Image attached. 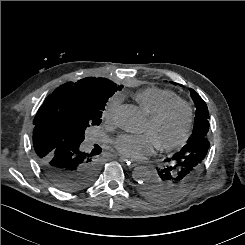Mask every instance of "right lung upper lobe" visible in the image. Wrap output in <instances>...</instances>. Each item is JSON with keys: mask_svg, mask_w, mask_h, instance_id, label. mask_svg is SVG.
<instances>
[{"mask_svg": "<svg viewBox=\"0 0 245 245\" xmlns=\"http://www.w3.org/2000/svg\"><path fill=\"white\" fill-rule=\"evenodd\" d=\"M114 85H116L114 82L106 78L87 77L76 83L68 82L59 86L39 108L33 121L35 125L33 136L39 133H54L46 123V116L49 112L73 106L90 105L96 101L99 93Z\"/></svg>", "mask_w": 245, "mask_h": 245, "instance_id": "cb5924a9", "label": "right lung upper lobe"}]
</instances>
